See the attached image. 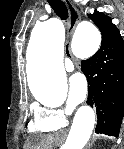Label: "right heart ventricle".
<instances>
[{"label":"right heart ventricle","instance_id":"right-heart-ventricle-1","mask_svg":"<svg viewBox=\"0 0 124 149\" xmlns=\"http://www.w3.org/2000/svg\"><path fill=\"white\" fill-rule=\"evenodd\" d=\"M59 128L53 127L51 124H49L46 121L34 119L29 124V130L31 132L39 133V134H47L51 133Z\"/></svg>","mask_w":124,"mask_h":149}]
</instances>
